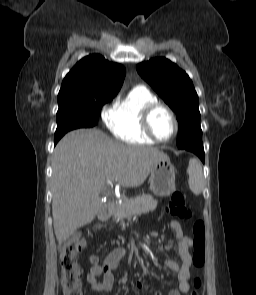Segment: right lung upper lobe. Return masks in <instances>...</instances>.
Returning <instances> with one entry per match:
<instances>
[{
	"instance_id": "cb5924a9",
	"label": "right lung upper lobe",
	"mask_w": 256,
	"mask_h": 295,
	"mask_svg": "<svg viewBox=\"0 0 256 295\" xmlns=\"http://www.w3.org/2000/svg\"><path fill=\"white\" fill-rule=\"evenodd\" d=\"M126 70L99 54L81 59L65 76L58 104H77L88 100L114 97L120 90Z\"/></svg>"
}]
</instances>
